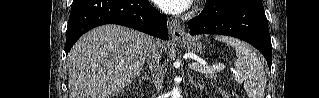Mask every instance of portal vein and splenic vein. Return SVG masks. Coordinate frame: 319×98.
<instances>
[{
    "label": "portal vein and splenic vein",
    "instance_id": "1",
    "mask_svg": "<svg viewBox=\"0 0 319 98\" xmlns=\"http://www.w3.org/2000/svg\"><path fill=\"white\" fill-rule=\"evenodd\" d=\"M189 68L191 70L198 71V72H204L206 70H213V71L218 72V71L224 70L225 66L221 65V64L215 65V66H209L205 62H201V63H191L189 65Z\"/></svg>",
    "mask_w": 319,
    "mask_h": 98
}]
</instances>
